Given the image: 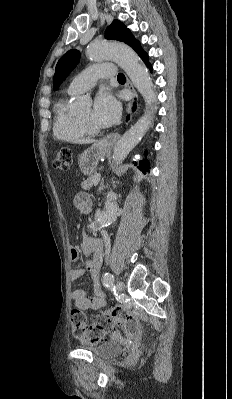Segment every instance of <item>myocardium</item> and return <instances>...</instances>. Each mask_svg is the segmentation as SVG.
Wrapping results in <instances>:
<instances>
[{
  "mask_svg": "<svg viewBox=\"0 0 232 399\" xmlns=\"http://www.w3.org/2000/svg\"><path fill=\"white\" fill-rule=\"evenodd\" d=\"M76 120L82 132L88 137H99L105 132L104 130H97L93 128L86 120L79 116L76 117Z\"/></svg>",
  "mask_w": 232,
  "mask_h": 399,
  "instance_id": "myocardium-1",
  "label": "myocardium"
}]
</instances>
